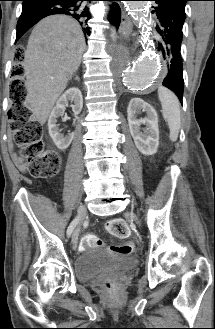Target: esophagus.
<instances>
[{
	"label": "esophagus",
	"instance_id": "obj_1",
	"mask_svg": "<svg viewBox=\"0 0 215 329\" xmlns=\"http://www.w3.org/2000/svg\"><path fill=\"white\" fill-rule=\"evenodd\" d=\"M133 30V24L131 19L126 15L123 14L121 18V24L119 28V34L125 40H129Z\"/></svg>",
	"mask_w": 215,
	"mask_h": 329
}]
</instances>
